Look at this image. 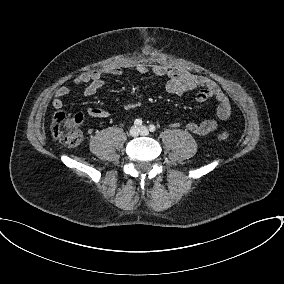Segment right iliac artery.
Wrapping results in <instances>:
<instances>
[{"label":"right iliac artery","instance_id":"right-iliac-artery-1","mask_svg":"<svg viewBox=\"0 0 284 284\" xmlns=\"http://www.w3.org/2000/svg\"><path fill=\"white\" fill-rule=\"evenodd\" d=\"M135 126H141L142 125V120L141 119H136L134 121Z\"/></svg>","mask_w":284,"mask_h":284}]
</instances>
